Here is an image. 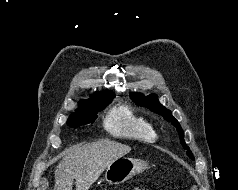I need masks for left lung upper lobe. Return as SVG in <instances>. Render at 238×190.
Wrapping results in <instances>:
<instances>
[{
  "label": "left lung upper lobe",
  "instance_id": "obj_1",
  "mask_svg": "<svg viewBox=\"0 0 238 190\" xmlns=\"http://www.w3.org/2000/svg\"><path fill=\"white\" fill-rule=\"evenodd\" d=\"M131 99L138 104L139 106H144L149 108L151 111L161 115L165 120L171 122L176 128L180 136L181 144L184 149L187 150V154L191 159H194L193 154L191 153L189 147L186 145L184 141V132L178 123V121L171 115V111L166 109L163 105H161L158 101V97L155 94H150L148 96H144L140 93H131Z\"/></svg>",
  "mask_w": 238,
  "mask_h": 190
}]
</instances>
